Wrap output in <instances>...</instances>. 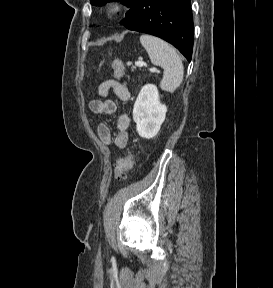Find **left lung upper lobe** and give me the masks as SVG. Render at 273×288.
<instances>
[{
	"mask_svg": "<svg viewBox=\"0 0 273 288\" xmlns=\"http://www.w3.org/2000/svg\"><path fill=\"white\" fill-rule=\"evenodd\" d=\"M109 1L113 0H90L92 5L102 6ZM114 1H121V3L125 4L127 7L131 8L132 4L135 0H114Z\"/></svg>",
	"mask_w": 273,
	"mask_h": 288,
	"instance_id": "1",
	"label": "left lung upper lobe"
}]
</instances>
